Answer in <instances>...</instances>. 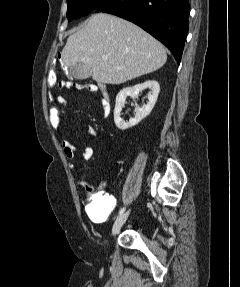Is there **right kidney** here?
Masks as SVG:
<instances>
[{"instance_id": "right-kidney-1", "label": "right kidney", "mask_w": 240, "mask_h": 287, "mask_svg": "<svg viewBox=\"0 0 240 287\" xmlns=\"http://www.w3.org/2000/svg\"><path fill=\"white\" fill-rule=\"evenodd\" d=\"M150 89V95L148 97V103L146 105H143V107H136V114L134 118H130L128 122H125L121 116V110L122 107L126 103V98L128 96L132 98H136L139 94V92L143 91L144 89ZM160 91V85L155 80H148L144 83L135 85L133 87H126L122 89L117 97H116V104L114 109V122L118 129L120 130H126L128 128H131L135 125H137L142 119H144L146 116L150 114L152 111Z\"/></svg>"}]
</instances>
